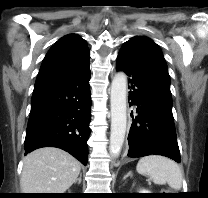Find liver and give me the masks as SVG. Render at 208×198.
<instances>
[{
  "label": "liver",
  "instance_id": "liver-1",
  "mask_svg": "<svg viewBox=\"0 0 208 198\" xmlns=\"http://www.w3.org/2000/svg\"><path fill=\"white\" fill-rule=\"evenodd\" d=\"M80 163L67 152L44 147L23 160L20 187L23 193H64L77 180Z\"/></svg>",
  "mask_w": 208,
  "mask_h": 198
}]
</instances>
